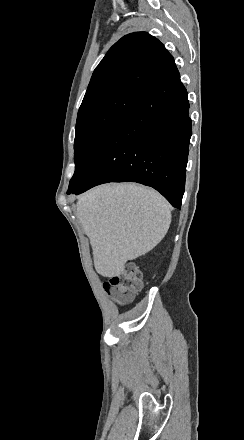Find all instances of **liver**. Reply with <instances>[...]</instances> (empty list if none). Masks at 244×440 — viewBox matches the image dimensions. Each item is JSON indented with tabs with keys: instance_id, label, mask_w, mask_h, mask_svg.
Instances as JSON below:
<instances>
[{
	"instance_id": "6515ba94",
	"label": "liver",
	"mask_w": 244,
	"mask_h": 440,
	"mask_svg": "<svg viewBox=\"0 0 244 440\" xmlns=\"http://www.w3.org/2000/svg\"><path fill=\"white\" fill-rule=\"evenodd\" d=\"M78 218L90 240L94 268L104 278L124 272L128 260L153 250L165 238L171 212L165 198L140 184H104L83 194Z\"/></svg>"
}]
</instances>
